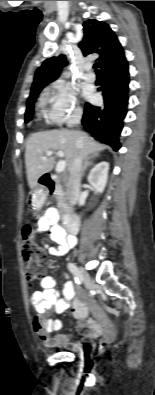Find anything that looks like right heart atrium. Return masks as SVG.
I'll return each mask as SVG.
<instances>
[{
  "label": "right heart atrium",
  "mask_w": 155,
  "mask_h": 395,
  "mask_svg": "<svg viewBox=\"0 0 155 395\" xmlns=\"http://www.w3.org/2000/svg\"><path fill=\"white\" fill-rule=\"evenodd\" d=\"M48 104L46 116L53 125L62 126L76 122L82 114L75 89L65 81L52 83L45 93Z\"/></svg>",
  "instance_id": "d8ad5b80"
}]
</instances>
